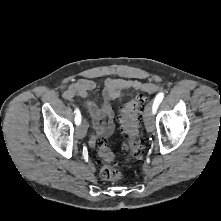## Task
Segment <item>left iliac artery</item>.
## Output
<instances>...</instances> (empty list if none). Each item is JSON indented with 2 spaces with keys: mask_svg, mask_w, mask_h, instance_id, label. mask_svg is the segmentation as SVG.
<instances>
[{
  "mask_svg": "<svg viewBox=\"0 0 221 221\" xmlns=\"http://www.w3.org/2000/svg\"><path fill=\"white\" fill-rule=\"evenodd\" d=\"M163 98H164V92H160L156 95L154 102H153V107H152L153 113L156 112V110H157L159 104L162 102Z\"/></svg>",
  "mask_w": 221,
  "mask_h": 221,
  "instance_id": "obj_1",
  "label": "left iliac artery"
}]
</instances>
